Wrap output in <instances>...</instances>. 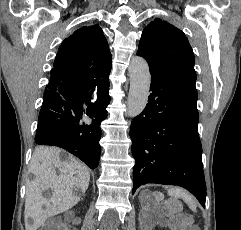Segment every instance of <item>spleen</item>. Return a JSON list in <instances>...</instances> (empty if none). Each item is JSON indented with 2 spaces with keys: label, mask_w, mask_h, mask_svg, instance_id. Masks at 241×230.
Listing matches in <instances>:
<instances>
[{
  "label": "spleen",
  "mask_w": 241,
  "mask_h": 230,
  "mask_svg": "<svg viewBox=\"0 0 241 230\" xmlns=\"http://www.w3.org/2000/svg\"><path fill=\"white\" fill-rule=\"evenodd\" d=\"M169 195L173 197L174 199L181 198L187 203V205L192 209L193 211L196 210V201L195 199L187 192L183 191L182 189H170Z\"/></svg>",
  "instance_id": "3e777b00"
}]
</instances>
